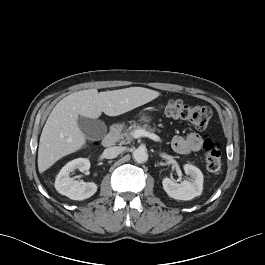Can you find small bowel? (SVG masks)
<instances>
[{"label":"small bowel","mask_w":265,"mask_h":265,"mask_svg":"<svg viewBox=\"0 0 265 265\" xmlns=\"http://www.w3.org/2000/svg\"><path fill=\"white\" fill-rule=\"evenodd\" d=\"M204 141L196 133H190L187 136H176L172 140V148L179 154H189L203 149Z\"/></svg>","instance_id":"c3829d8e"}]
</instances>
